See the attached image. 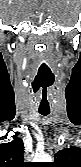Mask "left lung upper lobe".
I'll return each instance as SVG.
<instances>
[{
    "mask_svg": "<svg viewBox=\"0 0 81 167\" xmlns=\"http://www.w3.org/2000/svg\"><path fill=\"white\" fill-rule=\"evenodd\" d=\"M50 167H81V149L70 147L58 151Z\"/></svg>",
    "mask_w": 81,
    "mask_h": 167,
    "instance_id": "obj_1",
    "label": "left lung upper lobe"
}]
</instances>
